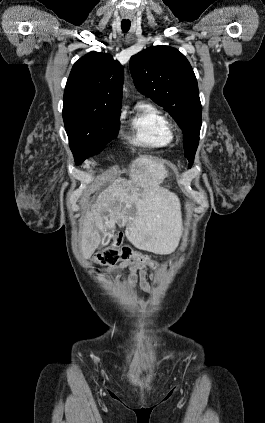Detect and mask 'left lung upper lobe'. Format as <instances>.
<instances>
[{"mask_svg":"<svg viewBox=\"0 0 265 423\" xmlns=\"http://www.w3.org/2000/svg\"><path fill=\"white\" fill-rule=\"evenodd\" d=\"M129 66L136 88L169 112L182 129L190 168L199 143L202 114L190 63L175 48L155 46L132 56Z\"/></svg>","mask_w":265,"mask_h":423,"instance_id":"1","label":"left lung upper lobe"}]
</instances>
